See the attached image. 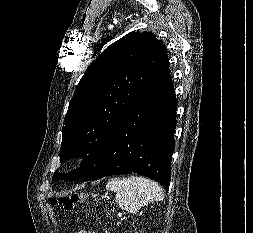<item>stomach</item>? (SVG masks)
<instances>
[{"instance_id": "0dacf381", "label": "stomach", "mask_w": 253, "mask_h": 233, "mask_svg": "<svg viewBox=\"0 0 253 233\" xmlns=\"http://www.w3.org/2000/svg\"><path fill=\"white\" fill-rule=\"evenodd\" d=\"M96 203V205H100L101 204V202H99V200L97 201L96 199L94 200Z\"/></svg>"}]
</instances>
